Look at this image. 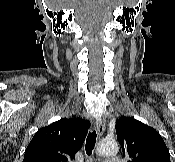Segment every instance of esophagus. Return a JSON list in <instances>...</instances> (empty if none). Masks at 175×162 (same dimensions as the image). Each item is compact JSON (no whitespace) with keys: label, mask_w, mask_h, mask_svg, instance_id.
Wrapping results in <instances>:
<instances>
[{"label":"esophagus","mask_w":175,"mask_h":162,"mask_svg":"<svg viewBox=\"0 0 175 162\" xmlns=\"http://www.w3.org/2000/svg\"><path fill=\"white\" fill-rule=\"evenodd\" d=\"M95 125H96L97 133H98L99 137H101L104 134V131H105V122H104V120L101 119V118H98L95 122Z\"/></svg>","instance_id":"34e87169"}]
</instances>
